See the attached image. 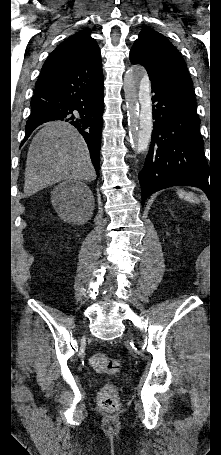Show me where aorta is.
<instances>
[{"instance_id":"1","label":"aorta","mask_w":221,"mask_h":455,"mask_svg":"<svg viewBox=\"0 0 221 455\" xmlns=\"http://www.w3.org/2000/svg\"><path fill=\"white\" fill-rule=\"evenodd\" d=\"M130 144L137 153L148 149L152 130L150 83L144 67L134 65L124 75Z\"/></svg>"}]
</instances>
